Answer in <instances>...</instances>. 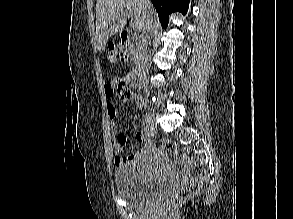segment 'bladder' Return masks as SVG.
Masks as SVG:
<instances>
[{
	"mask_svg": "<svg viewBox=\"0 0 293 219\" xmlns=\"http://www.w3.org/2000/svg\"><path fill=\"white\" fill-rule=\"evenodd\" d=\"M167 184V179L146 176L138 166L125 165L114 173L116 194L132 206H143L162 192Z\"/></svg>",
	"mask_w": 293,
	"mask_h": 219,
	"instance_id": "1",
	"label": "bladder"
}]
</instances>
